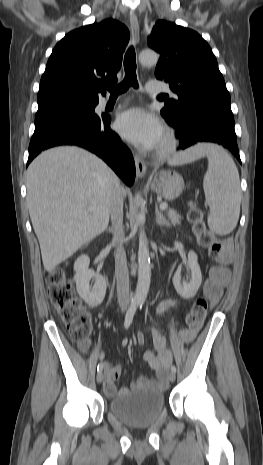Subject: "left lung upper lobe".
I'll use <instances>...</instances> for the list:
<instances>
[{
  "label": "left lung upper lobe",
  "instance_id": "left-lung-upper-lobe-1",
  "mask_svg": "<svg viewBox=\"0 0 263 465\" xmlns=\"http://www.w3.org/2000/svg\"><path fill=\"white\" fill-rule=\"evenodd\" d=\"M148 45L160 53L157 79L169 82L178 100L165 103L161 114L173 119L204 104L230 108V95L208 43L195 31L159 20Z\"/></svg>",
  "mask_w": 263,
  "mask_h": 465
}]
</instances>
